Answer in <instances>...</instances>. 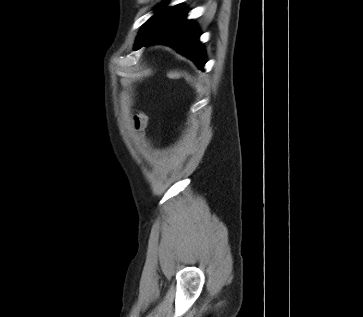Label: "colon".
Here are the masks:
<instances>
[{
  "instance_id": "1",
  "label": "colon",
  "mask_w": 363,
  "mask_h": 317,
  "mask_svg": "<svg viewBox=\"0 0 363 317\" xmlns=\"http://www.w3.org/2000/svg\"><path fill=\"white\" fill-rule=\"evenodd\" d=\"M133 125L137 132H143L146 127V116L142 112H138L133 117Z\"/></svg>"
}]
</instances>
